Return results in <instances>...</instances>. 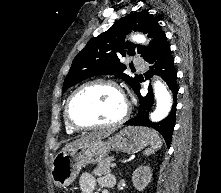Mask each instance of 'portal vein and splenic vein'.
Wrapping results in <instances>:
<instances>
[{
  "instance_id": "portal-vein-and-splenic-vein-1",
  "label": "portal vein and splenic vein",
  "mask_w": 221,
  "mask_h": 193,
  "mask_svg": "<svg viewBox=\"0 0 221 193\" xmlns=\"http://www.w3.org/2000/svg\"><path fill=\"white\" fill-rule=\"evenodd\" d=\"M112 167H116V163H112V165H111Z\"/></svg>"
}]
</instances>
